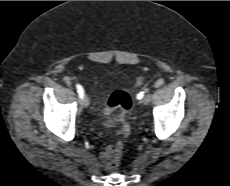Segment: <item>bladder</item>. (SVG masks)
<instances>
[{
    "mask_svg": "<svg viewBox=\"0 0 230 186\" xmlns=\"http://www.w3.org/2000/svg\"><path fill=\"white\" fill-rule=\"evenodd\" d=\"M116 124H117V118L114 115H110V116L106 117L102 123L103 127L107 128V129H111V128L115 127Z\"/></svg>",
    "mask_w": 230,
    "mask_h": 186,
    "instance_id": "31cf9c89",
    "label": "bladder"
}]
</instances>
